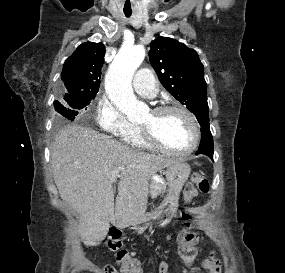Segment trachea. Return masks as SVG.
Listing matches in <instances>:
<instances>
[{
  "mask_svg": "<svg viewBox=\"0 0 285 273\" xmlns=\"http://www.w3.org/2000/svg\"><path fill=\"white\" fill-rule=\"evenodd\" d=\"M126 17H130L131 16V12H124Z\"/></svg>",
  "mask_w": 285,
  "mask_h": 273,
  "instance_id": "trachea-1",
  "label": "trachea"
}]
</instances>
